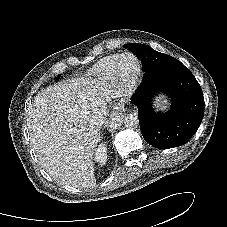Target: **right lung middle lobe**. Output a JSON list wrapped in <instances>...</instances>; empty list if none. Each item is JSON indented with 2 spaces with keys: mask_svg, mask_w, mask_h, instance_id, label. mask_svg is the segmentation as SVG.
Listing matches in <instances>:
<instances>
[{
  "mask_svg": "<svg viewBox=\"0 0 227 227\" xmlns=\"http://www.w3.org/2000/svg\"><path fill=\"white\" fill-rule=\"evenodd\" d=\"M60 78V75H58L57 77H56V79L58 80Z\"/></svg>",
  "mask_w": 227,
  "mask_h": 227,
  "instance_id": "1",
  "label": "right lung middle lobe"
}]
</instances>
